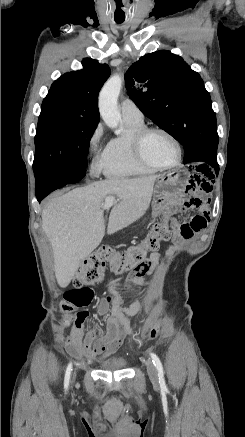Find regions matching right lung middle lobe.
Returning a JSON list of instances; mask_svg holds the SVG:
<instances>
[{
  "mask_svg": "<svg viewBox=\"0 0 245 437\" xmlns=\"http://www.w3.org/2000/svg\"><path fill=\"white\" fill-rule=\"evenodd\" d=\"M98 121L61 109H41L35 136V177L50 169L86 172L90 139Z\"/></svg>",
  "mask_w": 245,
  "mask_h": 437,
  "instance_id": "dd1d6c3e",
  "label": "right lung middle lobe"
}]
</instances>
